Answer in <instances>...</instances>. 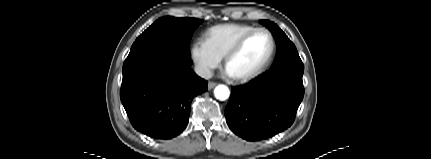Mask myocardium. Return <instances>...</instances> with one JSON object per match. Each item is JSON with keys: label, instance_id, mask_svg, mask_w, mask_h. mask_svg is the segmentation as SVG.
Returning <instances> with one entry per match:
<instances>
[{"label": "myocardium", "instance_id": "obj_1", "mask_svg": "<svg viewBox=\"0 0 431 159\" xmlns=\"http://www.w3.org/2000/svg\"><path fill=\"white\" fill-rule=\"evenodd\" d=\"M257 33H265L270 37L271 44H272L270 54H269L267 60L264 62V64L260 68H258L256 71H254L250 74L244 75V76H238V77L233 76V78L237 82L247 83V82H250V81L260 77L262 74H264L268 70V68L271 66V64L275 58L276 50H277V43H276V39H275L274 35L272 34L271 31H269L266 28H256V29L246 33L245 35H243L235 43V45L227 52V54L224 57L226 69H227L230 61L242 51V49L244 48L247 41Z\"/></svg>", "mask_w": 431, "mask_h": 159}]
</instances>
